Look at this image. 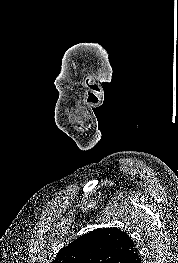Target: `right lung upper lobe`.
Masks as SVG:
<instances>
[{"label": "right lung upper lobe", "instance_id": "1", "mask_svg": "<svg viewBox=\"0 0 178 263\" xmlns=\"http://www.w3.org/2000/svg\"><path fill=\"white\" fill-rule=\"evenodd\" d=\"M52 263H141V257L126 232L100 228L61 248Z\"/></svg>", "mask_w": 178, "mask_h": 263}]
</instances>
